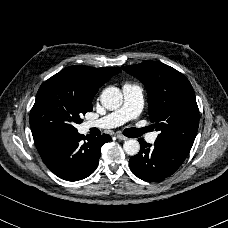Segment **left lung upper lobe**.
I'll list each match as a JSON object with an SVG mask.
<instances>
[{"mask_svg":"<svg viewBox=\"0 0 228 228\" xmlns=\"http://www.w3.org/2000/svg\"><path fill=\"white\" fill-rule=\"evenodd\" d=\"M145 85L148 113L157 141L192 148L199 125V109L188 79L174 68L157 61L122 66Z\"/></svg>","mask_w":228,"mask_h":228,"instance_id":"5c2ea615","label":"left lung upper lobe"}]
</instances>
